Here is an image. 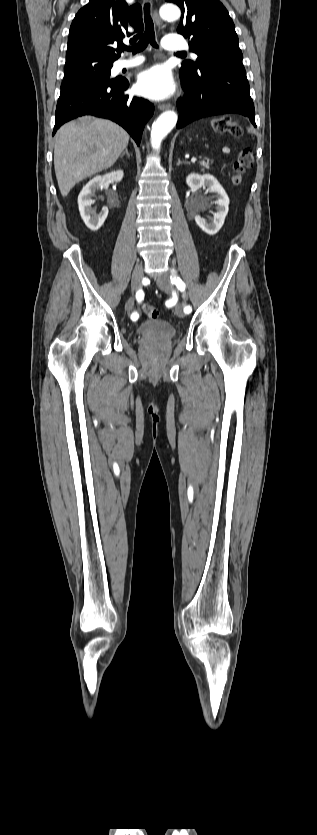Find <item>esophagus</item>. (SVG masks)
I'll return each mask as SVG.
<instances>
[{"mask_svg": "<svg viewBox=\"0 0 317 835\" xmlns=\"http://www.w3.org/2000/svg\"><path fill=\"white\" fill-rule=\"evenodd\" d=\"M153 16H154V19H155V21H156L157 25H158L159 27H161V26L163 25V22H162L161 18L159 17L158 11H157V9H156L155 7H154V9H153ZM171 107H172V106H171V104H170V103L159 104V106H158L159 110H161V111H162V110H167V109H170Z\"/></svg>", "mask_w": 317, "mask_h": 835, "instance_id": "1", "label": "esophagus"}]
</instances>
